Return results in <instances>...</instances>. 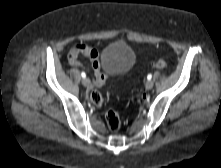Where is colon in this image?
<instances>
[{"mask_svg":"<svg viewBox=\"0 0 221 168\" xmlns=\"http://www.w3.org/2000/svg\"><path fill=\"white\" fill-rule=\"evenodd\" d=\"M167 63L160 59L156 61L153 66L157 69L165 68ZM90 101L94 106L100 107L103 105V97L101 93L94 91L90 94ZM106 124L111 131H117L121 126V120L119 114L112 110L108 109L105 113Z\"/></svg>","mask_w":221,"mask_h":168,"instance_id":"obj_1","label":"colon"}]
</instances>
